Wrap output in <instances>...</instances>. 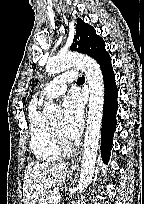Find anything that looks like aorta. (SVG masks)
<instances>
[{
  "label": "aorta",
  "mask_w": 144,
  "mask_h": 204,
  "mask_svg": "<svg viewBox=\"0 0 144 204\" xmlns=\"http://www.w3.org/2000/svg\"><path fill=\"white\" fill-rule=\"evenodd\" d=\"M72 66H76L84 72L90 92L84 155L81 164L80 179L77 185L81 193L91 182L95 170L104 105V82L98 63L88 56L75 53H60L49 59L46 65V72L49 75H53ZM44 115L50 120L61 118L62 110L57 105L49 103L44 108Z\"/></svg>",
  "instance_id": "obj_1"
}]
</instances>
